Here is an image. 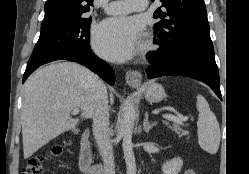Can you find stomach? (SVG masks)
Returning a JSON list of instances; mask_svg holds the SVG:
<instances>
[{
	"mask_svg": "<svg viewBox=\"0 0 249 174\" xmlns=\"http://www.w3.org/2000/svg\"><path fill=\"white\" fill-rule=\"evenodd\" d=\"M141 89L144 91L145 98L150 102L158 103L165 97L164 87L159 83L147 82L142 85Z\"/></svg>",
	"mask_w": 249,
	"mask_h": 174,
	"instance_id": "1",
	"label": "stomach"
}]
</instances>
